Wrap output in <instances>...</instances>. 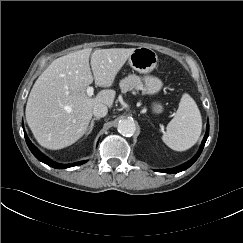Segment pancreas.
<instances>
[{"label": "pancreas", "mask_w": 243, "mask_h": 243, "mask_svg": "<svg viewBox=\"0 0 243 243\" xmlns=\"http://www.w3.org/2000/svg\"><path fill=\"white\" fill-rule=\"evenodd\" d=\"M119 87L122 93H126L131 90H142L143 94L146 92L142 79L134 74L122 79L119 83Z\"/></svg>", "instance_id": "1"}]
</instances>
